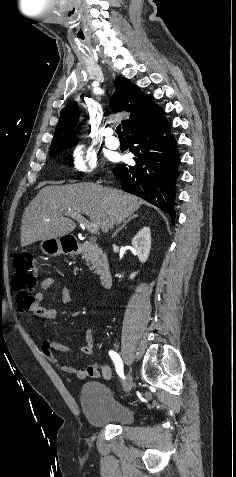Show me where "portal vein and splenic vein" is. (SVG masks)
Here are the masks:
<instances>
[{
    "label": "portal vein and splenic vein",
    "mask_w": 236,
    "mask_h": 477,
    "mask_svg": "<svg viewBox=\"0 0 236 477\" xmlns=\"http://www.w3.org/2000/svg\"><path fill=\"white\" fill-rule=\"evenodd\" d=\"M66 215L67 216H70L71 218H73L74 220H77L78 222H80L81 225H83L84 227H86L91 233L95 234L99 231V227L97 224H93V223H90L88 222L83 216H81L80 214H77V213H72L70 212V210L68 212H66Z\"/></svg>",
    "instance_id": "portal-vein-and-splenic-vein-1"
}]
</instances>
